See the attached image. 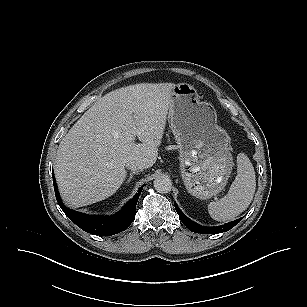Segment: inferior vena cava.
<instances>
[{"label": "inferior vena cava", "mask_w": 307, "mask_h": 307, "mask_svg": "<svg viewBox=\"0 0 307 307\" xmlns=\"http://www.w3.org/2000/svg\"><path fill=\"white\" fill-rule=\"evenodd\" d=\"M126 168H128L131 171H142L145 169V165L143 162L138 160H128L125 164Z\"/></svg>", "instance_id": "inferior-vena-cava-1"}]
</instances>
